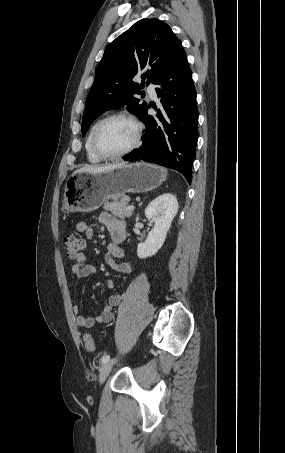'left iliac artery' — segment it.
<instances>
[{
    "mask_svg": "<svg viewBox=\"0 0 285 453\" xmlns=\"http://www.w3.org/2000/svg\"><path fill=\"white\" fill-rule=\"evenodd\" d=\"M109 359H110V355H105V356H103V357H102V364H103V363H106L107 361H109Z\"/></svg>",
    "mask_w": 285,
    "mask_h": 453,
    "instance_id": "1",
    "label": "left iliac artery"
}]
</instances>
